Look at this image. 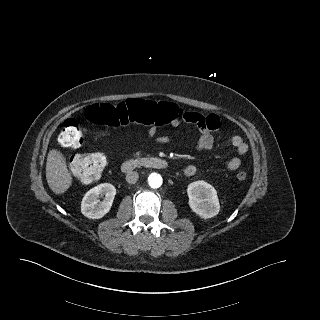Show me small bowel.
<instances>
[{
    "mask_svg": "<svg viewBox=\"0 0 320 320\" xmlns=\"http://www.w3.org/2000/svg\"><path fill=\"white\" fill-rule=\"evenodd\" d=\"M178 116L173 118L171 124L174 126L179 125L181 122L192 123L198 126L200 129V137L197 142V149L206 150L210 149L214 144L213 130L218 129L222 122L221 120L214 115L205 116L198 112L193 111H181L178 109ZM156 134V127L152 126L148 130L149 137H154ZM168 140V137L162 136L157 138L158 142H165ZM231 144L236 150L238 157H233L227 162V168L229 170H236L242 164V157H244L248 152V145L243 140L242 137L236 135L231 139ZM197 172V167L195 165H187L184 168V175L191 177Z\"/></svg>",
    "mask_w": 320,
    "mask_h": 320,
    "instance_id": "obj_1",
    "label": "small bowel"
}]
</instances>
